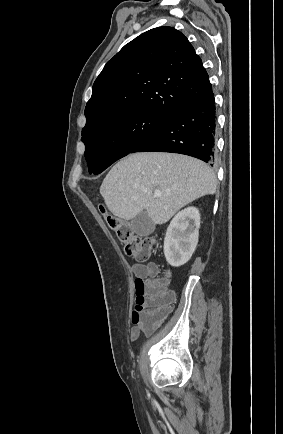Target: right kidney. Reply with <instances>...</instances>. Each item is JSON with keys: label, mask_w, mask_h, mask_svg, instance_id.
<instances>
[{"label": "right kidney", "mask_w": 283, "mask_h": 434, "mask_svg": "<svg viewBox=\"0 0 283 434\" xmlns=\"http://www.w3.org/2000/svg\"><path fill=\"white\" fill-rule=\"evenodd\" d=\"M200 213L195 207L178 212L170 222L164 240V254L174 267L184 265L194 253L199 237Z\"/></svg>", "instance_id": "obj_1"}]
</instances>
